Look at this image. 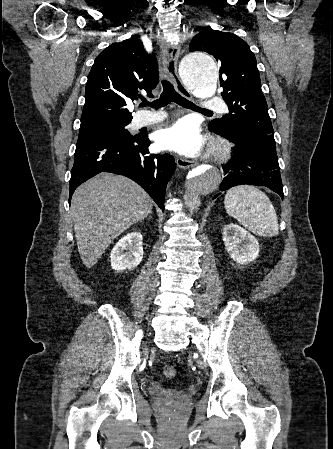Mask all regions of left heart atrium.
Segmentation results:
<instances>
[{
    "label": "left heart atrium",
    "mask_w": 333,
    "mask_h": 449,
    "mask_svg": "<svg viewBox=\"0 0 333 449\" xmlns=\"http://www.w3.org/2000/svg\"><path fill=\"white\" fill-rule=\"evenodd\" d=\"M156 141L162 148L185 156H195L203 147L201 134L187 119L179 120L172 126L158 131Z\"/></svg>",
    "instance_id": "1"
}]
</instances>
